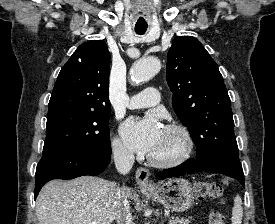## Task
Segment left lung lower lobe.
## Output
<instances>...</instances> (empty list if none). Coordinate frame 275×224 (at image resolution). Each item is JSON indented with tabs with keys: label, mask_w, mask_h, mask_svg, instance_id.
I'll return each mask as SVG.
<instances>
[{
	"label": "left lung lower lobe",
	"mask_w": 275,
	"mask_h": 224,
	"mask_svg": "<svg viewBox=\"0 0 275 224\" xmlns=\"http://www.w3.org/2000/svg\"><path fill=\"white\" fill-rule=\"evenodd\" d=\"M201 170L213 171L224 174L236 179L244 187V174L240 161H201L199 159H192L184 162L181 165L165 169L156 175L159 180L182 176L186 173L197 172Z\"/></svg>",
	"instance_id": "obj_1"
}]
</instances>
